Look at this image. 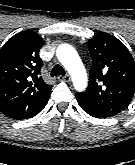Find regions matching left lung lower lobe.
Wrapping results in <instances>:
<instances>
[{
  "label": "left lung lower lobe",
  "mask_w": 135,
  "mask_h": 165,
  "mask_svg": "<svg viewBox=\"0 0 135 165\" xmlns=\"http://www.w3.org/2000/svg\"><path fill=\"white\" fill-rule=\"evenodd\" d=\"M80 106L82 107V109L88 113L89 115L93 116V117H97V118H106V117H110L108 116L107 114L99 111V110H96V109H93L91 107H87V106H84V105H81Z\"/></svg>",
  "instance_id": "1"
}]
</instances>
